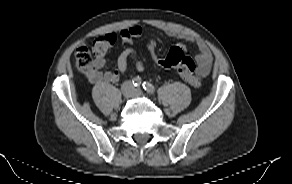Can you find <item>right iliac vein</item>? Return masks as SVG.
<instances>
[{
  "label": "right iliac vein",
  "instance_id": "63e3f726",
  "mask_svg": "<svg viewBox=\"0 0 292 184\" xmlns=\"http://www.w3.org/2000/svg\"><path fill=\"white\" fill-rule=\"evenodd\" d=\"M123 96L128 98L132 95L131 84L129 82L125 83L122 87Z\"/></svg>",
  "mask_w": 292,
  "mask_h": 184
}]
</instances>
